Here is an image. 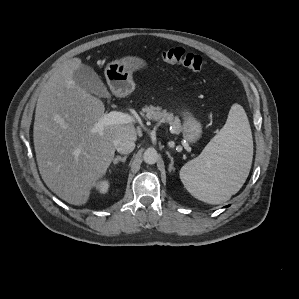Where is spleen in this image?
I'll list each match as a JSON object with an SVG mask.
<instances>
[{"label":"spleen","instance_id":"3e777b00","mask_svg":"<svg viewBox=\"0 0 299 299\" xmlns=\"http://www.w3.org/2000/svg\"><path fill=\"white\" fill-rule=\"evenodd\" d=\"M253 140L245 110L233 104L227 121L202 153L180 170L185 188L197 199L220 204L245 183L252 164Z\"/></svg>","mask_w":299,"mask_h":299}]
</instances>
